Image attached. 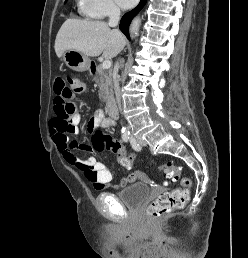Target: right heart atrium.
<instances>
[{
	"label": "right heart atrium",
	"instance_id": "obj_1",
	"mask_svg": "<svg viewBox=\"0 0 248 258\" xmlns=\"http://www.w3.org/2000/svg\"><path fill=\"white\" fill-rule=\"evenodd\" d=\"M79 10L82 15L94 19H102L119 12L114 0H79Z\"/></svg>",
	"mask_w": 248,
	"mask_h": 258
}]
</instances>
